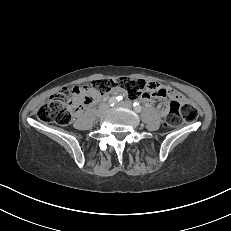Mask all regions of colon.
Wrapping results in <instances>:
<instances>
[{"label": "colon", "instance_id": "colon-1", "mask_svg": "<svg viewBox=\"0 0 231 231\" xmlns=\"http://www.w3.org/2000/svg\"><path fill=\"white\" fill-rule=\"evenodd\" d=\"M92 93H106L113 89H119L132 99L141 97L148 86L142 79L105 78L96 80L88 87ZM78 87L64 88L55 94L49 101L41 105L37 111V117L45 123H54L61 126L70 124L74 109V96ZM89 100V97L86 98ZM165 113V125L176 126L182 121L195 122L199 117L198 108L190 101H170L163 107Z\"/></svg>", "mask_w": 231, "mask_h": 231}]
</instances>
